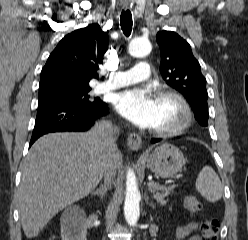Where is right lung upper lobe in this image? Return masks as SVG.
I'll return each mask as SVG.
<instances>
[{
  "label": "right lung upper lobe",
  "instance_id": "right-lung-upper-lobe-1",
  "mask_svg": "<svg viewBox=\"0 0 248 240\" xmlns=\"http://www.w3.org/2000/svg\"><path fill=\"white\" fill-rule=\"evenodd\" d=\"M108 49V35L97 23L66 35L50 54L41 72L39 99L89 91Z\"/></svg>",
  "mask_w": 248,
  "mask_h": 240
}]
</instances>
